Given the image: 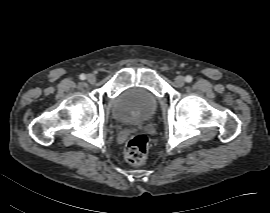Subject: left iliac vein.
<instances>
[{
	"instance_id": "obj_1",
	"label": "left iliac vein",
	"mask_w": 270,
	"mask_h": 213,
	"mask_svg": "<svg viewBox=\"0 0 270 213\" xmlns=\"http://www.w3.org/2000/svg\"><path fill=\"white\" fill-rule=\"evenodd\" d=\"M175 83L178 85V86H183L184 83H185V78L181 75L177 76L175 78Z\"/></svg>"
}]
</instances>
